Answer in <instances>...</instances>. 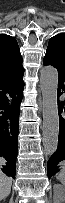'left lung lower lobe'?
<instances>
[{
  "instance_id": "left-lung-lower-lobe-1",
  "label": "left lung lower lobe",
  "mask_w": 65,
  "mask_h": 203,
  "mask_svg": "<svg viewBox=\"0 0 65 203\" xmlns=\"http://www.w3.org/2000/svg\"><path fill=\"white\" fill-rule=\"evenodd\" d=\"M43 64L52 65L58 70V98L61 95H65V66L61 64L49 52H46V55L43 59ZM58 113H59L58 149L51 156L47 164L48 178L55 175L61 169H65V100L61 102L58 101Z\"/></svg>"
}]
</instances>
